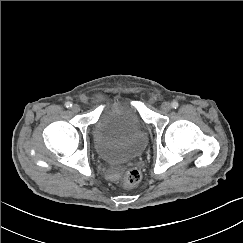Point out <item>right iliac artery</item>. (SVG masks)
<instances>
[{
    "label": "right iliac artery",
    "mask_w": 243,
    "mask_h": 243,
    "mask_svg": "<svg viewBox=\"0 0 243 243\" xmlns=\"http://www.w3.org/2000/svg\"><path fill=\"white\" fill-rule=\"evenodd\" d=\"M65 107L66 108H71L72 107V103L71 102H66L65 103Z\"/></svg>",
    "instance_id": "82829eb1"
}]
</instances>
